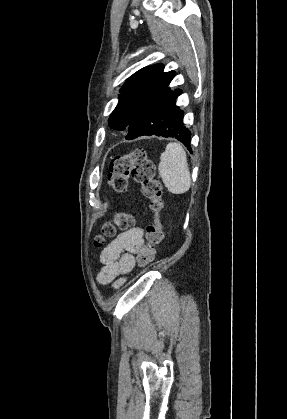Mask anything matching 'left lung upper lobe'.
<instances>
[{
	"mask_svg": "<svg viewBox=\"0 0 287 419\" xmlns=\"http://www.w3.org/2000/svg\"><path fill=\"white\" fill-rule=\"evenodd\" d=\"M164 65L156 64L142 68L133 74L120 90L119 102L109 117V126L116 130H126L137 109L160 92L176 75L175 71L163 72Z\"/></svg>",
	"mask_w": 287,
	"mask_h": 419,
	"instance_id": "obj_1",
	"label": "left lung upper lobe"
}]
</instances>
